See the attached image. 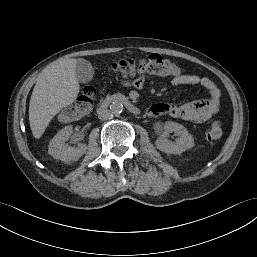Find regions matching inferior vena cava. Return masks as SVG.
<instances>
[{
  "label": "inferior vena cava",
  "mask_w": 257,
  "mask_h": 257,
  "mask_svg": "<svg viewBox=\"0 0 257 257\" xmlns=\"http://www.w3.org/2000/svg\"><path fill=\"white\" fill-rule=\"evenodd\" d=\"M97 114H98V118H99L100 120H107V119H109V118L111 117V115H112L111 112H110V110L105 109V108L99 109L98 112H97Z\"/></svg>",
  "instance_id": "inferior-vena-cava-1"
}]
</instances>
